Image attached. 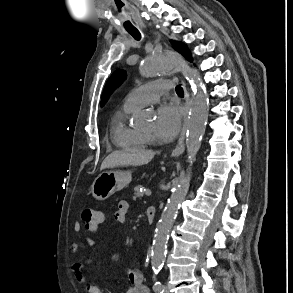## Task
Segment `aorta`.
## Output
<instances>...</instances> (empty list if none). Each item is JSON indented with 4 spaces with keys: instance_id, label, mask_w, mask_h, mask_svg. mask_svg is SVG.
I'll return each mask as SVG.
<instances>
[{
    "instance_id": "762f6f07",
    "label": "aorta",
    "mask_w": 293,
    "mask_h": 293,
    "mask_svg": "<svg viewBox=\"0 0 293 293\" xmlns=\"http://www.w3.org/2000/svg\"><path fill=\"white\" fill-rule=\"evenodd\" d=\"M181 71L192 85V100L186 132V148L190 161L201 146V139L205 133L208 119V95L201 83L199 76L187 65L184 59L172 50H161L148 55L141 65V73L145 77H154ZM191 179V171L181 178L172 191V194L162 212L156 226L155 237L152 246L151 264L154 270L160 269L166 255V247L169 232L173 226L178 209L185 199Z\"/></svg>"
}]
</instances>
